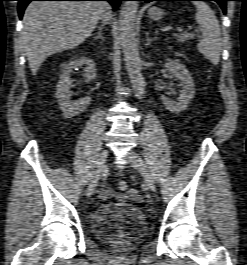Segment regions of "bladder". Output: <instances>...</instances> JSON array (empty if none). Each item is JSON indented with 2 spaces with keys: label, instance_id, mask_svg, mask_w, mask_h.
Masks as SVG:
<instances>
[{
  "label": "bladder",
  "instance_id": "obj_1",
  "mask_svg": "<svg viewBox=\"0 0 247 265\" xmlns=\"http://www.w3.org/2000/svg\"><path fill=\"white\" fill-rule=\"evenodd\" d=\"M146 229L144 212L131 204L104 203L93 212L91 218L92 234L101 241H132L142 236Z\"/></svg>",
  "mask_w": 247,
  "mask_h": 265
}]
</instances>
